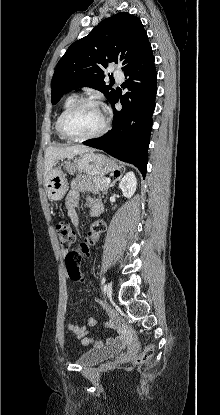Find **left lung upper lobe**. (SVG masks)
<instances>
[{
    "label": "left lung upper lobe",
    "mask_w": 220,
    "mask_h": 415,
    "mask_svg": "<svg viewBox=\"0 0 220 415\" xmlns=\"http://www.w3.org/2000/svg\"><path fill=\"white\" fill-rule=\"evenodd\" d=\"M153 56L147 33L139 18L120 12L103 20L86 37L74 42L59 60L52 79V104L79 87L101 91L110 100L115 90L104 82L108 63L122 71L145 63Z\"/></svg>",
    "instance_id": "left-lung-upper-lobe-1"
}]
</instances>
